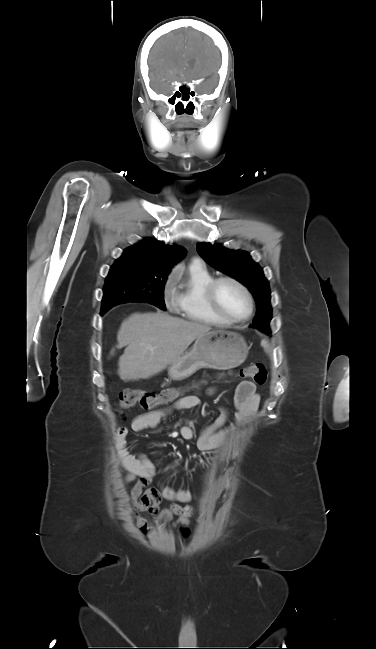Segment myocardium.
<instances>
[{"instance_id": "f54148a6", "label": "myocardium", "mask_w": 376, "mask_h": 649, "mask_svg": "<svg viewBox=\"0 0 376 649\" xmlns=\"http://www.w3.org/2000/svg\"><path fill=\"white\" fill-rule=\"evenodd\" d=\"M224 282H230V283L236 285L244 293V295H245V297H246V299L248 301V304H249V311H248V313H247V315L245 317H243V318H234V317L230 316L225 311V309L223 308V306H222V304H221V302L219 300L218 288H219L220 284H222ZM206 295H207V299H208L210 305L212 306V308L223 319H225L229 323L246 322V321H248L250 319V317L253 314V311H254V299H253V296H252L250 290L248 289V287L244 283H242L239 279H237V278H235L233 276L226 275V276H220V277L214 278L207 286Z\"/></svg>"}]
</instances>
